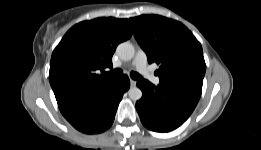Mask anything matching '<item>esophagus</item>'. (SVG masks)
Here are the masks:
<instances>
[{"instance_id": "1", "label": "esophagus", "mask_w": 261, "mask_h": 150, "mask_svg": "<svg viewBox=\"0 0 261 150\" xmlns=\"http://www.w3.org/2000/svg\"><path fill=\"white\" fill-rule=\"evenodd\" d=\"M130 84H131V87H135L136 86V81L133 80V79H130Z\"/></svg>"}]
</instances>
